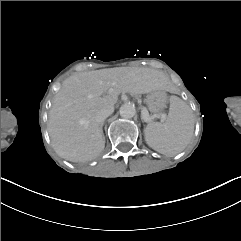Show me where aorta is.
<instances>
[{"label": "aorta", "instance_id": "762f6f07", "mask_svg": "<svg viewBox=\"0 0 241 241\" xmlns=\"http://www.w3.org/2000/svg\"><path fill=\"white\" fill-rule=\"evenodd\" d=\"M120 116L125 119L133 118L136 114V109L134 104L125 103L120 107Z\"/></svg>", "mask_w": 241, "mask_h": 241}]
</instances>
